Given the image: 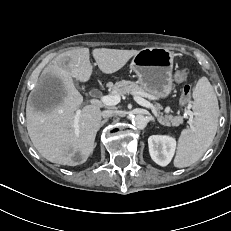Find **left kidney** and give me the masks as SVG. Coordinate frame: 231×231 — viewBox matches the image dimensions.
Masks as SVG:
<instances>
[{"instance_id":"1","label":"left kidney","mask_w":231,"mask_h":231,"mask_svg":"<svg viewBox=\"0 0 231 231\" xmlns=\"http://www.w3.org/2000/svg\"><path fill=\"white\" fill-rule=\"evenodd\" d=\"M148 146L152 160L160 166H167L174 156L176 140L170 136L152 135L148 138Z\"/></svg>"}]
</instances>
